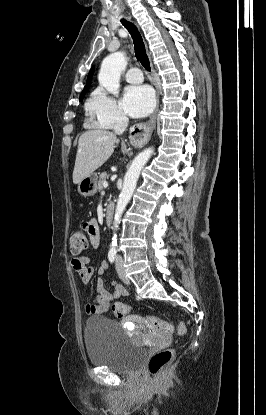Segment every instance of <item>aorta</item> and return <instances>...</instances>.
I'll list each match as a JSON object with an SVG mask.
<instances>
[{
  "instance_id": "obj_1",
  "label": "aorta",
  "mask_w": 266,
  "mask_h": 415,
  "mask_svg": "<svg viewBox=\"0 0 266 415\" xmlns=\"http://www.w3.org/2000/svg\"><path fill=\"white\" fill-rule=\"evenodd\" d=\"M127 61L124 52H114L108 55L102 62L99 72V83L111 94L117 95L120 87V76L126 68ZM153 148H148L139 153L133 160L130 168L125 174L123 188L117 201L113 230L118 229L121 216L130 201L136 188L141 170L153 154ZM117 234L112 237V249H116Z\"/></svg>"
}]
</instances>
